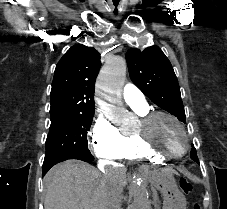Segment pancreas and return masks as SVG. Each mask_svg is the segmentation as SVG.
<instances>
[{"instance_id": "cf45deb5", "label": "pancreas", "mask_w": 227, "mask_h": 209, "mask_svg": "<svg viewBox=\"0 0 227 209\" xmlns=\"http://www.w3.org/2000/svg\"><path fill=\"white\" fill-rule=\"evenodd\" d=\"M152 206L154 207L153 209H160L159 208L160 207V204L159 203H154Z\"/></svg>"}]
</instances>
